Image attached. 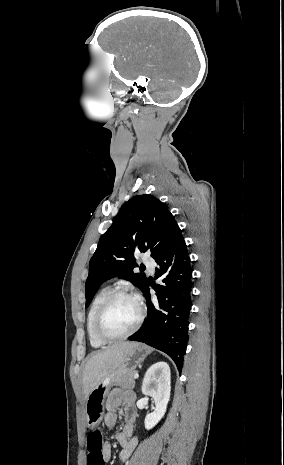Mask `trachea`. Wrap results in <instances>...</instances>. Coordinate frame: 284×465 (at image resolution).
Wrapping results in <instances>:
<instances>
[{
  "mask_svg": "<svg viewBox=\"0 0 284 465\" xmlns=\"http://www.w3.org/2000/svg\"><path fill=\"white\" fill-rule=\"evenodd\" d=\"M140 270H141V271L145 270V266H144V265H141Z\"/></svg>",
  "mask_w": 284,
  "mask_h": 465,
  "instance_id": "obj_1",
  "label": "trachea"
}]
</instances>
